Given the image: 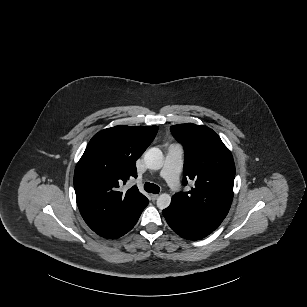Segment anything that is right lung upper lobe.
Here are the masks:
<instances>
[{
    "label": "right lung upper lobe",
    "mask_w": 307,
    "mask_h": 307,
    "mask_svg": "<svg viewBox=\"0 0 307 307\" xmlns=\"http://www.w3.org/2000/svg\"><path fill=\"white\" fill-rule=\"evenodd\" d=\"M157 126L124 125L93 136L76 165L74 188L80 213L95 232L126 217L147 198L136 186L126 193L120 185L137 177L135 161L155 138Z\"/></svg>",
    "instance_id": "right-lung-upper-lobe-1"
}]
</instances>
